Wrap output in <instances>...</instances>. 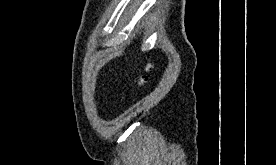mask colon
Instances as JSON below:
<instances>
[{
    "label": "colon",
    "mask_w": 276,
    "mask_h": 165,
    "mask_svg": "<svg viewBox=\"0 0 276 165\" xmlns=\"http://www.w3.org/2000/svg\"><path fill=\"white\" fill-rule=\"evenodd\" d=\"M150 70V64H147L141 72H139L135 78V83L138 86H142L147 81V72Z\"/></svg>",
    "instance_id": "5ec220e1"
}]
</instances>
